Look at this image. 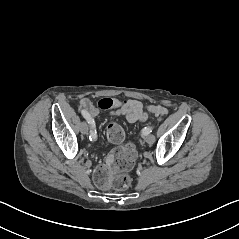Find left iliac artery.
<instances>
[{
	"label": "left iliac artery",
	"mask_w": 239,
	"mask_h": 239,
	"mask_svg": "<svg viewBox=\"0 0 239 239\" xmlns=\"http://www.w3.org/2000/svg\"><path fill=\"white\" fill-rule=\"evenodd\" d=\"M152 129L153 127H145L143 130H142V134L143 135H148L152 132Z\"/></svg>",
	"instance_id": "left-iliac-artery-1"
}]
</instances>
